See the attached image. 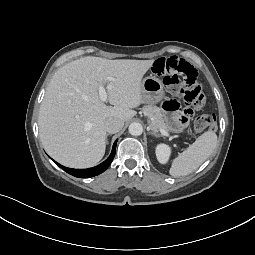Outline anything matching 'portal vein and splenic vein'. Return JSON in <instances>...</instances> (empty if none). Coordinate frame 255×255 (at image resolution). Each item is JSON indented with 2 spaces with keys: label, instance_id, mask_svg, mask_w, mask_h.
<instances>
[{
  "label": "portal vein and splenic vein",
  "instance_id": "18ae733b",
  "mask_svg": "<svg viewBox=\"0 0 255 255\" xmlns=\"http://www.w3.org/2000/svg\"><path fill=\"white\" fill-rule=\"evenodd\" d=\"M111 79L112 78H109V80H111ZM98 92H99V97H100L101 101L106 102L108 96H107L106 90L103 85L98 86ZM160 133L163 136L170 137L169 133L167 131H165L164 129H160Z\"/></svg>",
  "mask_w": 255,
  "mask_h": 255
}]
</instances>
